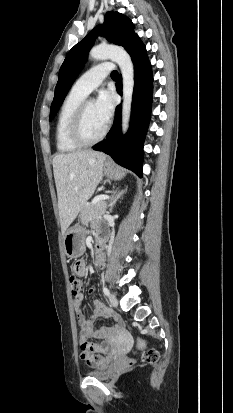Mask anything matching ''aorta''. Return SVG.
<instances>
[{
  "instance_id": "obj_1",
  "label": "aorta",
  "mask_w": 233,
  "mask_h": 413,
  "mask_svg": "<svg viewBox=\"0 0 233 413\" xmlns=\"http://www.w3.org/2000/svg\"><path fill=\"white\" fill-rule=\"evenodd\" d=\"M89 56L94 60L111 59L120 67L123 84L122 131L125 133L129 127L134 88V67L131 57L123 48L113 45L95 46L90 50Z\"/></svg>"
}]
</instances>
